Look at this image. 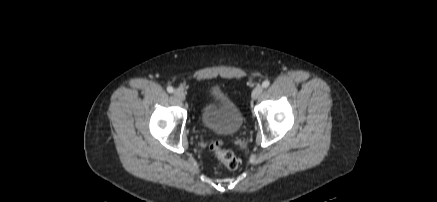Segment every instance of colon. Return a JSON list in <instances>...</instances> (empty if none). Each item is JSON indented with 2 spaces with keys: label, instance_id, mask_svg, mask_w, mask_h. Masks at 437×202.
<instances>
[{
  "label": "colon",
  "instance_id": "1",
  "mask_svg": "<svg viewBox=\"0 0 437 202\" xmlns=\"http://www.w3.org/2000/svg\"><path fill=\"white\" fill-rule=\"evenodd\" d=\"M209 149L217 156V158L227 169L236 170L239 167V159L231 150L223 148L222 140L217 139L211 142Z\"/></svg>",
  "mask_w": 437,
  "mask_h": 202
}]
</instances>
